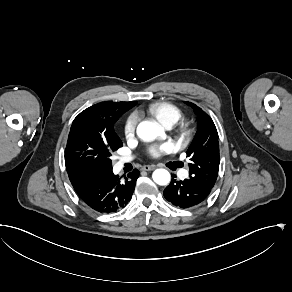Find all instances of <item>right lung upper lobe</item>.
Here are the masks:
<instances>
[{
	"label": "right lung upper lobe",
	"instance_id": "obj_1",
	"mask_svg": "<svg viewBox=\"0 0 292 292\" xmlns=\"http://www.w3.org/2000/svg\"><path fill=\"white\" fill-rule=\"evenodd\" d=\"M137 102H102L95 104L88 108V111L92 112L98 117L105 120L116 122L119 117L134 107Z\"/></svg>",
	"mask_w": 292,
	"mask_h": 292
}]
</instances>
